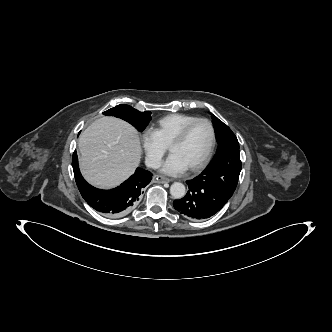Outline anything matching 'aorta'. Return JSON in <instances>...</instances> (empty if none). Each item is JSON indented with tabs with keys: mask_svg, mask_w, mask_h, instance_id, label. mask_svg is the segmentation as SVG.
<instances>
[{
	"mask_svg": "<svg viewBox=\"0 0 332 332\" xmlns=\"http://www.w3.org/2000/svg\"><path fill=\"white\" fill-rule=\"evenodd\" d=\"M170 193L175 199H181L186 194V189L184 184L180 182H174L170 187Z\"/></svg>",
	"mask_w": 332,
	"mask_h": 332,
	"instance_id": "1",
	"label": "aorta"
}]
</instances>
